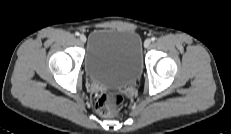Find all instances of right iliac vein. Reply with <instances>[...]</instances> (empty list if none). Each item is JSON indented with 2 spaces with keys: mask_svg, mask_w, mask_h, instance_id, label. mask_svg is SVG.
<instances>
[{
  "mask_svg": "<svg viewBox=\"0 0 231 134\" xmlns=\"http://www.w3.org/2000/svg\"><path fill=\"white\" fill-rule=\"evenodd\" d=\"M80 41L85 43L86 42V36L85 35H80Z\"/></svg>",
  "mask_w": 231,
  "mask_h": 134,
  "instance_id": "63e3f726",
  "label": "right iliac vein"
}]
</instances>
